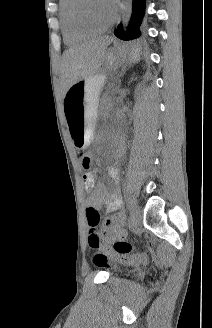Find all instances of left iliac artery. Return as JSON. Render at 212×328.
<instances>
[{
    "label": "left iliac artery",
    "instance_id": "left-iliac-artery-1",
    "mask_svg": "<svg viewBox=\"0 0 212 328\" xmlns=\"http://www.w3.org/2000/svg\"><path fill=\"white\" fill-rule=\"evenodd\" d=\"M132 207V201H129V208Z\"/></svg>",
    "mask_w": 212,
    "mask_h": 328
}]
</instances>
